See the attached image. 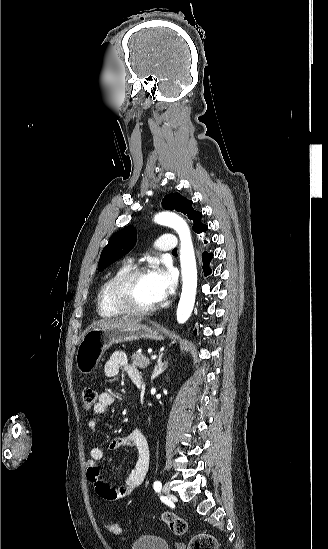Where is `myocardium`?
I'll use <instances>...</instances> for the list:
<instances>
[{
  "label": "myocardium",
  "instance_id": "f54148a6",
  "mask_svg": "<svg viewBox=\"0 0 328 549\" xmlns=\"http://www.w3.org/2000/svg\"><path fill=\"white\" fill-rule=\"evenodd\" d=\"M157 260H147L135 264L133 267L122 272L110 285L108 289V309L116 315L133 317H144L155 312L159 307V301L147 307H126L122 305L137 304L127 295V288L130 283L139 276L150 273L149 267L158 265Z\"/></svg>",
  "mask_w": 328,
  "mask_h": 549
}]
</instances>
